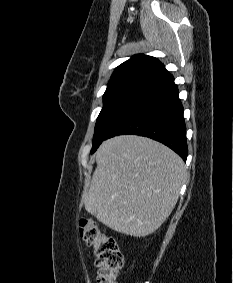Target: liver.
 Instances as JSON below:
<instances>
[{
  "mask_svg": "<svg viewBox=\"0 0 233 283\" xmlns=\"http://www.w3.org/2000/svg\"><path fill=\"white\" fill-rule=\"evenodd\" d=\"M87 212L107 227L134 237L156 231L174 209L185 181L183 160L150 138L122 135L95 153Z\"/></svg>",
  "mask_w": 233,
  "mask_h": 283,
  "instance_id": "1",
  "label": "liver"
}]
</instances>
